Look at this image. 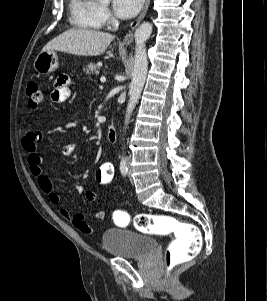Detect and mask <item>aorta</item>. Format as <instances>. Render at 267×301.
<instances>
[{"label": "aorta", "instance_id": "762f6f07", "mask_svg": "<svg viewBox=\"0 0 267 301\" xmlns=\"http://www.w3.org/2000/svg\"><path fill=\"white\" fill-rule=\"evenodd\" d=\"M102 3H107L110 0H99ZM152 24L149 22L142 23L135 31V56L134 67L132 72V81L130 83L129 102L126 109L125 125H128L130 116L136 106L138 99L140 98L143 90L147 70L148 61L146 54L145 43L149 39L152 33Z\"/></svg>", "mask_w": 267, "mask_h": 301}]
</instances>
